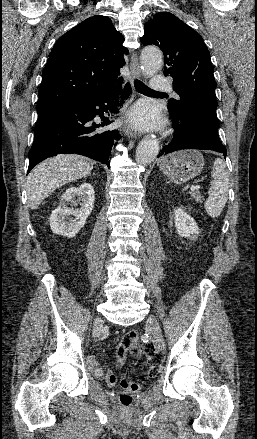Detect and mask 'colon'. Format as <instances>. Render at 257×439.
<instances>
[{"label":"colon","instance_id":"obj_1","mask_svg":"<svg viewBox=\"0 0 257 439\" xmlns=\"http://www.w3.org/2000/svg\"><path fill=\"white\" fill-rule=\"evenodd\" d=\"M143 355L149 363V376H154L161 365V358L152 344L140 345L139 335L135 330L127 331L119 341L116 349V358L119 365H122L129 355ZM93 372L99 376L106 384L113 385L116 381L115 375L110 371L102 370L95 358L90 360ZM125 389L119 396V402L124 407H129L133 402L132 394L139 389V384L133 381L124 382Z\"/></svg>","mask_w":257,"mask_h":439}]
</instances>
